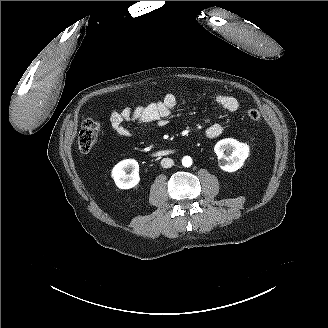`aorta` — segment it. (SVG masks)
I'll list each match as a JSON object with an SVG mask.
<instances>
[{
  "label": "aorta",
  "mask_w": 328,
  "mask_h": 328,
  "mask_svg": "<svg viewBox=\"0 0 328 328\" xmlns=\"http://www.w3.org/2000/svg\"><path fill=\"white\" fill-rule=\"evenodd\" d=\"M182 165L184 167H190L192 165V159L190 156H184L182 158Z\"/></svg>",
  "instance_id": "762f6f07"
}]
</instances>
